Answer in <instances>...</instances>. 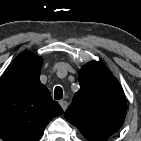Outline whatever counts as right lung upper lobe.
Returning a JSON list of instances; mask_svg holds the SVG:
<instances>
[{
	"instance_id": "right-lung-upper-lobe-1",
	"label": "right lung upper lobe",
	"mask_w": 141,
	"mask_h": 141,
	"mask_svg": "<svg viewBox=\"0 0 141 141\" xmlns=\"http://www.w3.org/2000/svg\"><path fill=\"white\" fill-rule=\"evenodd\" d=\"M42 58L19 54L0 78V138L39 141L47 124L63 113L40 80Z\"/></svg>"
}]
</instances>
